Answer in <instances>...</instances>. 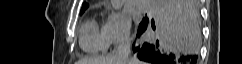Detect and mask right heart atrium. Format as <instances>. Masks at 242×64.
I'll list each match as a JSON object with an SVG mask.
<instances>
[{
	"mask_svg": "<svg viewBox=\"0 0 242 64\" xmlns=\"http://www.w3.org/2000/svg\"><path fill=\"white\" fill-rule=\"evenodd\" d=\"M130 19L119 12L111 11L103 25L107 43L111 46L126 44L130 40Z\"/></svg>",
	"mask_w": 242,
	"mask_h": 64,
	"instance_id": "right-heart-atrium-1",
	"label": "right heart atrium"
}]
</instances>
